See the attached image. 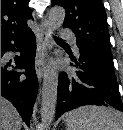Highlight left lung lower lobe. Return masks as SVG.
Returning a JSON list of instances; mask_svg holds the SVG:
<instances>
[{
  "mask_svg": "<svg viewBox=\"0 0 123 130\" xmlns=\"http://www.w3.org/2000/svg\"><path fill=\"white\" fill-rule=\"evenodd\" d=\"M79 53L78 59L69 53L74 73L62 72L59 76L55 120L83 105L106 106L123 112L113 59L85 50Z\"/></svg>",
  "mask_w": 123,
  "mask_h": 130,
  "instance_id": "1",
  "label": "left lung lower lobe"
}]
</instances>
